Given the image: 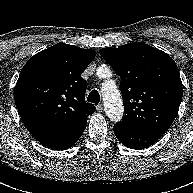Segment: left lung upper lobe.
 Segmentation results:
<instances>
[{
  "label": "left lung upper lobe",
  "mask_w": 193,
  "mask_h": 193,
  "mask_svg": "<svg viewBox=\"0 0 193 193\" xmlns=\"http://www.w3.org/2000/svg\"><path fill=\"white\" fill-rule=\"evenodd\" d=\"M100 54L122 79L125 115L114 126L129 131L166 132L177 116L183 94L174 60L141 42L103 48Z\"/></svg>",
  "instance_id": "5c2ea615"
}]
</instances>
